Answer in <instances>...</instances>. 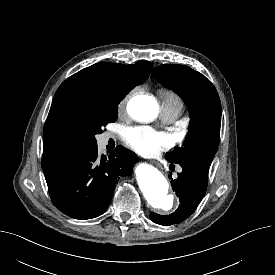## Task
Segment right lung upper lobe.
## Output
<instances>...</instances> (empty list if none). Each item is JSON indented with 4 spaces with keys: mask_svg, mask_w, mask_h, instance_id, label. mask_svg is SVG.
Wrapping results in <instances>:
<instances>
[{
    "mask_svg": "<svg viewBox=\"0 0 275 275\" xmlns=\"http://www.w3.org/2000/svg\"><path fill=\"white\" fill-rule=\"evenodd\" d=\"M153 65L96 63L64 81L55 93L43 131L42 169L49 172L81 150L62 124V114L70 108L118 105L135 86L143 83Z\"/></svg>",
    "mask_w": 275,
    "mask_h": 275,
    "instance_id": "cb5924a9",
    "label": "right lung upper lobe"
}]
</instances>
